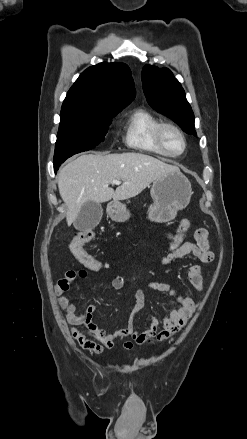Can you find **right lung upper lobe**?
<instances>
[{
    "label": "right lung upper lobe",
    "instance_id": "1",
    "mask_svg": "<svg viewBox=\"0 0 247 439\" xmlns=\"http://www.w3.org/2000/svg\"><path fill=\"white\" fill-rule=\"evenodd\" d=\"M135 98L131 71L123 63H99L87 68L75 81L62 111H116Z\"/></svg>",
    "mask_w": 247,
    "mask_h": 439
}]
</instances>
